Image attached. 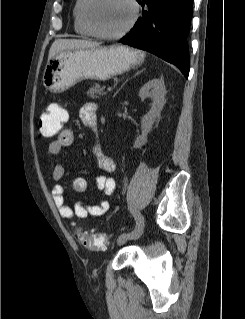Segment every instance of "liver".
I'll return each mask as SVG.
<instances>
[{
  "label": "liver",
  "instance_id": "obj_1",
  "mask_svg": "<svg viewBox=\"0 0 245 319\" xmlns=\"http://www.w3.org/2000/svg\"><path fill=\"white\" fill-rule=\"evenodd\" d=\"M99 46L100 43L83 39H58L54 41L49 50L48 60L54 57L60 51L95 48Z\"/></svg>",
  "mask_w": 245,
  "mask_h": 319
}]
</instances>
